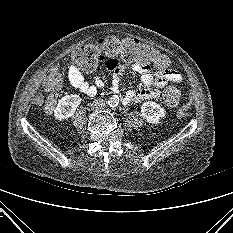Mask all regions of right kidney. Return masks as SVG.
<instances>
[{
    "instance_id": "ca27d5eb",
    "label": "right kidney",
    "mask_w": 233,
    "mask_h": 233,
    "mask_svg": "<svg viewBox=\"0 0 233 233\" xmlns=\"http://www.w3.org/2000/svg\"><path fill=\"white\" fill-rule=\"evenodd\" d=\"M80 103L81 97L77 94L62 97L54 110L56 119L64 120L71 117Z\"/></svg>"
}]
</instances>
